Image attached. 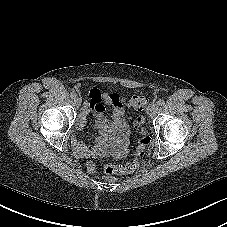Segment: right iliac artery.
<instances>
[{
    "mask_svg": "<svg viewBox=\"0 0 227 227\" xmlns=\"http://www.w3.org/2000/svg\"><path fill=\"white\" fill-rule=\"evenodd\" d=\"M70 97H71L72 99H75V98H76V94H75L74 92H72V93L70 94Z\"/></svg>",
    "mask_w": 227,
    "mask_h": 227,
    "instance_id": "1",
    "label": "right iliac artery"
}]
</instances>
